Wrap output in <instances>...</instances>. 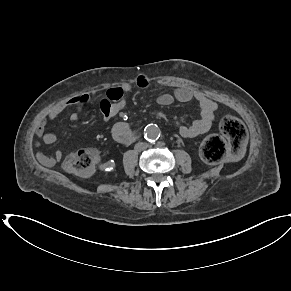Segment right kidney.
<instances>
[{"label":"right kidney","mask_w":291,"mask_h":291,"mask_svg":"<svg viewBox=\"0 0 291 291\" xmlns=\"http://www.w3.org/2000/svg\"><path fill=\"white\" fill-rule=\"evenodd\" d=\"M105 168L106 166L104 164L100 166V169H105Z\"/></svg>","instance_id":"obj_1"}]
</instances>
